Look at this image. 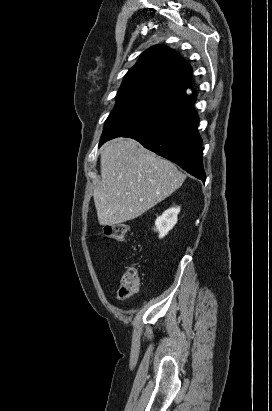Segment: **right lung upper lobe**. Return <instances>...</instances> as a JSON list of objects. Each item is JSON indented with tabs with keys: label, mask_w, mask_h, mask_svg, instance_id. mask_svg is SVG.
<instances>
[{
	"label": "right lung upper lobe",
	"mask_w": 272,
	"mask_h": 411,
	"mask_svg": "<svg viewBox=\"0 0 272 411\" xmlns=\"http://www.w3.org/2000/svg\"><path fill=\"white\" fill-rule=\"evenodd\" d=\"M191 74L192 68L175 51L154 46L141 54L118 92L149 93L182 108L195 102V95H185L191 87Z\"/></svg>",
	"instance_id": "cb5924a9"
}]
</instances>
